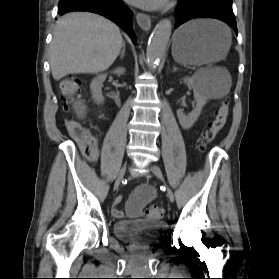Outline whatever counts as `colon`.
Listing matches in <instances>:
<instances>
[{"mask_svg": "<svg viewBox=\"0 0 279 279\" xmlns=\"http://www.w3.org/2000/svg\"><path fill=\"white\" fill-rule=\"evenodd\" d=\"M84 80L81 77H69L64 79L60 84V90L65 101V109H68L70 104L74 103L81 96V87ZM230 101L224 99L221 106L217 110L213 120L209 123L202 137L198 141V148L204 151L211 144L218 133L225 126L229 114ZM69 133L78 141L82 154L90 161L95 160L98 151L97 139L91 135L88 129L76 119H71L67 122ZM164 215V209L160 206H150L146 209V216L153 220L161 219Z\"/></svg>", "mask_w": 279, "mask_h": 279, "instance_id": "1", "label": "colon"}]
</instances>
